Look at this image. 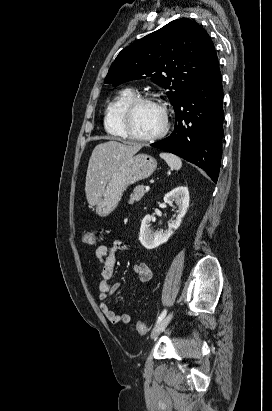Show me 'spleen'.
Instances as JSON below:
<instances>
[{
  "label": "spleen",
  "instance_id": "3e777b00",
  "mask_svg": "<svg viewBox=\"0 0 272 411\" xmlns=\"http://www.w3.org/2000/svg\"><path fill=\"white\" fill-rule=\"evenodd\" d=\"M160 157L166 161L168 166L174 170H179L182 167L181 159L170 153H160Z\"/></svg>",
  "mask_w": 272,
  "mask_h": 411
}]
</instances>
